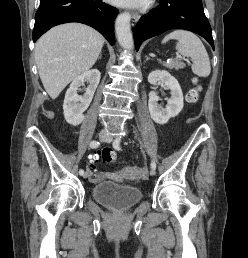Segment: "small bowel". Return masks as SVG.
<instances>
[{
    "instance_id": "1",
    "label": "small bowel",
    "mask_w": 248,
    "mask_h": 258,
    "mask_svg": "<svg viewBox=\"0 0 248 258\" xmlns=\"http://www.w3.org/2000/svg\"><path fill=\"white\" fill-rule=\"evenodd\" d=\"M94 181H102L105 179H112L118 182L122 181V176L117 172H106V173H98V175H93Z\"/></svg>"
}]
</instances>
